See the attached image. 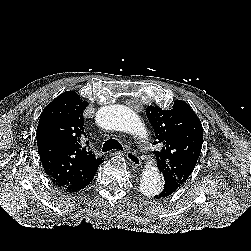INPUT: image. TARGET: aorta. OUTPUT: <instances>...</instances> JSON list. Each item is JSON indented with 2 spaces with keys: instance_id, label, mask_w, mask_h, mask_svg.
Instances as JSON below:
<instances>
[{
  "instance_id": "1",
  "label": "aorta",
  "mask_w": 251,
  "mask_h": 251,
  "mask_svg": "<svg viewBox=\"0 0 251 251\" xmlns=\"http://www.w3.org/2000/svg\"><path fill=\"white\" fill-rule=\"evenodd\" d=\"M98 125L106 130L124 132L140 139L146 138V130L139 116L123 105L102 107L96 114ZM162 176L154 166L147 167L140 180V191L147 197H153L162 189Z\"/></svg>"
}]
</instances>
